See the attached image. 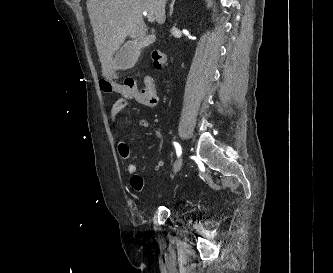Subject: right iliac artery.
I'll use <instances>...</instances> for the list:
<instances>
[{
	"mask_svg": "<svg viewBox=\"0 0 333 273\" xmlns=\"http://www.w3.org/2000/svg\"><path fill=\"white\" fill-rule=\"evenodd\" d=\"M173 144H174V147L176 149L177 156L179 157L182 154L181 146L177 142H174Z\"/></svg>",
	"mask_w": 333,
	"mask_h": 273,
	"instance_id": "1",
	"label": "right iliac artery"
}]
</instances>
